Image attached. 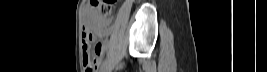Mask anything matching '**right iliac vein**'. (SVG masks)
<instances>
[{"label": "right iliac vein", "instance_id": "right-iliac-vein-1", "mask_svg": "<svg viewBox=\"0 0 267 72\" xmlns=\"http://www.w3.org/2000/svg\"><path fill=\"white\" fill-rule=\"evenodd\" d=\"M100 72H106V67H103Z\"/></svg>", "mask_w": 267, "mask_h": 72}]
</instances>
